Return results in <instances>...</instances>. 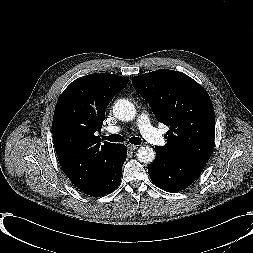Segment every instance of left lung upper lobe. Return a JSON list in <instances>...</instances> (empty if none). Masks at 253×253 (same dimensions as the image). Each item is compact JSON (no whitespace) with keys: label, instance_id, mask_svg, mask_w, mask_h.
Instances as JSON below:
<instances>
[{"label":"left lung upper lobe","instance_id":"1","mask_svg":"<svg viewBox=\"0 0 253 253\" xmlns=\"http://www.w3.org/2000/svg\"><path fill=\"white\" fill-rule=\"evenodd\" d=\"M137 92L149 103L158 122L170 127L165 146L172 156L208 161L215 137V114L205 89L184 73L160 69L133 78Z\"/></svg>","mask_w":253,"mask_h":253}]
</instances>
